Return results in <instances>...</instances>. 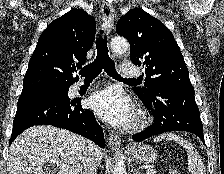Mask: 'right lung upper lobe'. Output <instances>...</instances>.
Masks as SVG:
<instances>
[{"instance_id": "cb5924a9", "label": "right lung upper lobe", "mask_w": 224, "mask_h": 174, "mask_svg": "<svg viewBox=\"0 0 224 174\" xmlns=\"http://www.w3.org/2000/svg\"><path fill=\"white\" fill-rule=\"evenodd\" d=\"M95 32L94 18L82 9L70 10L51 22L29 61L22 91L78 81L73 72L85 63Z\"/></svg>"}]
</instances>
